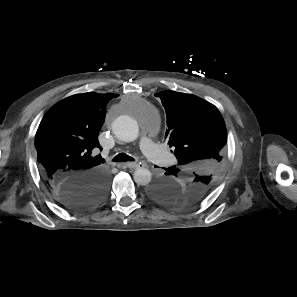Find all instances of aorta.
Segmentation results:
<instances>
[{"mask_svg":"<svg viewBox=\"0 0 297 297\" xmlns=\"http://www.w3.org/2000/svg\"><path fill=\"white\" fill-rule=\"evenodd\" d=\"M112 130L115 136L124 142H133L139 136L137 122L127 115L117 117L112 124ZM151 172L146 168H138L133 174L136 184L145 186L151 181Z\"/></svg>","mask_w":297,"mask_h":297,"instance_id":"1","label":"aorta"}]
</instances>
